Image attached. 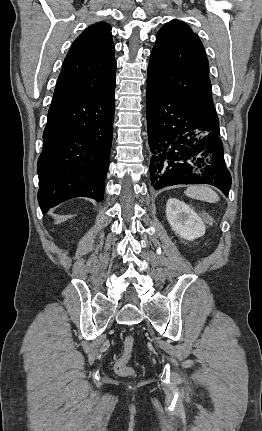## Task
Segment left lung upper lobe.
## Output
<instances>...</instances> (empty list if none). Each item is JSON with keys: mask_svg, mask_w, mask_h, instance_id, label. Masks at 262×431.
I'll return each mask as SVG.
<instances>
[{"mask_svg": "<svg viewBox=\"0 0 262 431\" xmlns=\"http://www.w3.org/2000/svg\"><path fill=\"white\" fill-rule=\"evenodd\" d=\"M147 76L148 83L191 107L202 120L219 124L205 50L187 24L172 20L159 30Z\"/></svg>", "mask_w": 262, "mask_h": 431, "instance_id": "5c2ea615", "label": "left lung upper lobe"}]
</instances>
